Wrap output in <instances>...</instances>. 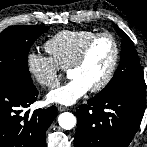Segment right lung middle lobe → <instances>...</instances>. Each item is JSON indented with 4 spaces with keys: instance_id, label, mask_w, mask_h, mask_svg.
<instances>
[{
    "instance_id": "obj_1",
    "label": "right lung middle lobe",
    "mask_w": 147,
    "mask_h": 147,
    "mask_svg": "<svg viewBox=\"0 0 147 147\" xmlns=\"http://www.w3.org/2000/svg\"><path fill=\"white\" fill-rule=\"evenodd\" d=\"M49 27L12 26L0 33V83L30 87L33 85L27 57L34 41Z\"/></svg>"
}]
</instances>
